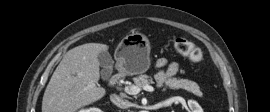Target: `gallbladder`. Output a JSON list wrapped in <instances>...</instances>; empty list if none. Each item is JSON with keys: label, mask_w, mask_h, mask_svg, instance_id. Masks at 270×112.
<instances>
[{"label": "gallbladder", "mask_w": 270, "mask_h": 112, "mask_svg": "<svg viewBox=\"0 0 270 112\" xmlns=\"http://www.w3.org/2000/svg\"><path fill=\"white\" fill-rule=\"evenodd\" d=\"M99 62L103 67L102 73L105 77L111 74L113 69V60L107 52H101L99 54Z\"/></svg>", "instance_id": "obj_1"}]
</instances>
